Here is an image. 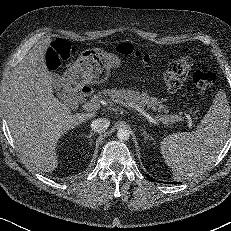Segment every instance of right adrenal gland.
Returning a JSON list of instances; mask_svg holds the SVG:
<instances>
[{
  "instance_id": "1",
  "label": "right adrenal gland",
  "mask_w": 231,
  "mask_h": 231,
  "mask_svg": "<svg viewBox=\"0 0 231 231\" xmlns=\"http://www.w3.org/2000/svg\"><path fill=\"white\" fill-rule=\"evenodd\" d=\"M94 134H95V133L90 132V134H89V135H85V137L89 139L90 144H92L91 140H92V136H93Z\"/></svg>"
}]
</instances>
